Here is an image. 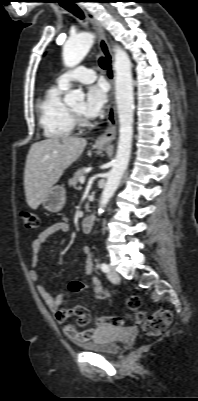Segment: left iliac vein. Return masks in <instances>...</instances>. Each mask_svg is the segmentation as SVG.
Listing matches in <instances>:
<instances>
[{
  "label": "left iliac vein",
  "instance_id": "obj_1",
  "mask_svg": "<svg viewBox=\"0 0 198 401\" xmlns=\"http://www.w3.org/2000/svg\"><path fill=\"white\" fill-rule=\"evenodd\" d=\"M107 278L112 282V283H118L120 281V277L118 273L111 268L108 273H107Z\"/></svg>",
  "mask_w": 198,
  "mask_h": 401
}]
</instances>
